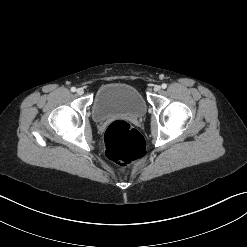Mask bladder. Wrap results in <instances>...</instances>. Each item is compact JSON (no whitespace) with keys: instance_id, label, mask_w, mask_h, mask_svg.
Wrapping results in <instances>:
<instances>
[{"instance_id":"1","label":"bladder","mask_w":247,"mask_h":247,"mask_svg":"<svg viewBox=\"0 0 247 247\" xmlns=\"http://www.w3.org/2000/svg\"><path fill=\"white\" fill-rule=\"evenodd\" d=\"M146 109V102L137 88L125 83H107L95 94L92 116L96 122L114 116L138 118L145 114Z\"/></svg>"}]
</instances>
